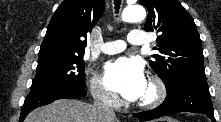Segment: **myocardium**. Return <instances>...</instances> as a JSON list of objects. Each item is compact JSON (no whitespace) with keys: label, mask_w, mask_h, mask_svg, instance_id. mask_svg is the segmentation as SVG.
Instances as JSON below:
<instances>
[{"label":"myocardium","mask_w":221,"mask_h":122,"mask_svg":"<svg viewBox=\"0 0 221 122\" xmlns=\"http://www.w3.org/2000/svg\"><path fill=\"white\" fill-rule=\"evenodd\" d=\"M148 86L150 88V94L148 97L139 100L137 105L140 108H155L160 105L166 98L167 90L161 78L157 76L150 77Z\"/></svg>","instance_id":"1"}]
</instances>
